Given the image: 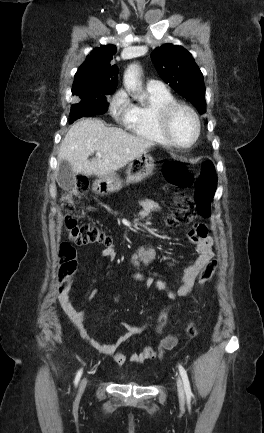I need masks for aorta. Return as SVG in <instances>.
I'll use <instances>...</instances> for the list:
<instances>
[{"label":"aorta","mask_w":264,"mask_h":433,"mask_svg":"<svg viewBox=\"0 0 264 433\" xmlns=\"http://www.w3.org/2000/svg\"><path fill=\"white\" fill-rule=\"evenodd\" d=\"M124 86L128 92H136L139 88L138 69L135 64L130 65L124 73Z\"/></svg>","instance_id":"aorta-1"}]
</instances>
